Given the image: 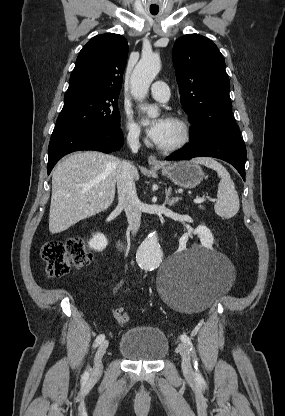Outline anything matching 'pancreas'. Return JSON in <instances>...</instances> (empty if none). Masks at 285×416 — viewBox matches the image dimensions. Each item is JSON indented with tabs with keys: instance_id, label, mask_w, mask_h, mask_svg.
I'll list each match as a JSON object with an SVG mask.
<instances>
[{
	"instance_id": "1",
	"label": "pancreas",
	"mask_w": 285,
	"mask_h": 416,
	"mask_svg": "<svg viewBox=\"0 0 285 416\" xmlns=\"http://www.w3.org/2000/svg\"><path fill=\"white\" fill-rule=\"evenodd\" d=\"M199 208H201V210H204L203 206H199Z\"/></svg>"
}]
</instances>
